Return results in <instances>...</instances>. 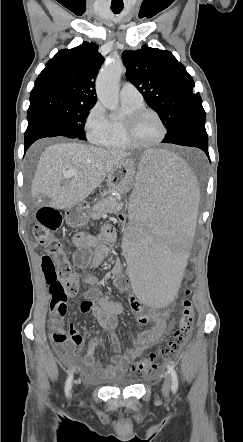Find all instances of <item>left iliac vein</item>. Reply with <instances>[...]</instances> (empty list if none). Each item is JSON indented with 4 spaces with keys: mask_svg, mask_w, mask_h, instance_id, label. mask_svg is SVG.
<instances>
[{
    "mask_svg": "<svg viewBox=\"0 0 243 442\" xmlns=\"http://www.w3.org/2000/svg\"><path fill=\"white\" fill-rule=\"evenodd\" d=\"M169 389H170V379L168 376H165V380L162 386V393L165 397H168Z\"/></svg>",
    "mask_w": 243,
    "mask_h": 442,
    "instance_id": "left-iliac-vein-1",
    "label": "left iliac vein"
}]
</instances>
